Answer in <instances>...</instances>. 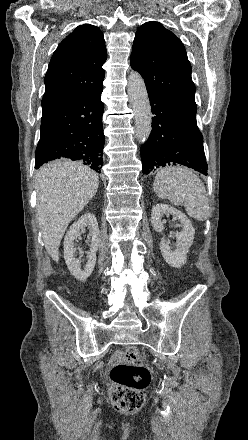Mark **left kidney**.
I'll return each mask as SVG.
<instances>
[{
    "label": "left kidney",
    "mask_w": 248,
    "mask_h": 440,
    "mask_svg": "<svg viewBox=\"0 0 248 440\" xmlns=\"http://www.w3.org/2000/svg\"><path fill=\"white\" fill-rule=\"evenodd\" d=\"M173 215L181 222L182 231L175 235L177 240L176 249L171 250L168 242L162 238L160 241V250L164 260L172 267L179 268L186 263L187 254L194 239L195 230L191 221L181 211L165 204H157L152 208L151 223L152 227L157 232H162L164 226L162 217L164 215Z\"/></svg>",
    "instance_id": "obj_1"
}]
</instances>
